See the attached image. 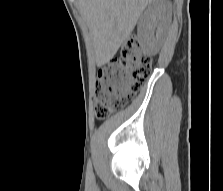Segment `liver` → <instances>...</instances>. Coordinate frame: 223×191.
Returning <instances> with one entry per match:
<instances>
[{
	"label": "liver",
	"instance_id": "liver-1",
	"mask_svg": "<svg viewBox=\"0 0 223 191\" xmlns=\"http://www.w3.org/2000/svg\"><path fill=\"white\" fill-rule=\"evenodd\" d=\"M154 0H78L93 39L97 66H103L130 37L140 15Z\"/></svg>",
	"mask_w": 223,
	"mask_h": 191
}]
</instances>
